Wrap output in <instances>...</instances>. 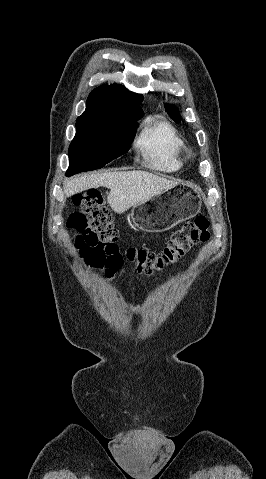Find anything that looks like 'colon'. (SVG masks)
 <instances>
[{"instance_id": "colon-1", "label": "colon", "mask_w": 266, "mask_h": 479, "mask_svg": "<svg viewBox=\"0 0 266 479\" xmlns=\"http://www.w3.org/2000/svg\"><path fill=\"white\" fill-rule=\"evenodd\" d=\"M77 208L68 218V227L75 233V247L85 265L113 277L124 260L134 265L137 272L151 275L175 264L189 249L210 239L209 220L199 216L175 230L159 252L126 248L118 244V230L113 217L97 189H89L74 196Z\"/></svg>"}]
</instances>
